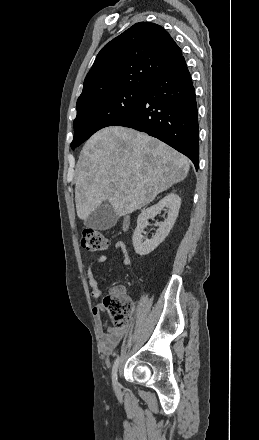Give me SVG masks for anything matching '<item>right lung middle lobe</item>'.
<instances>
[{"mask_svg": "<svg viewBox=\"0 0 259 440\" xmlns=\"http://www.w3.org/2000/svg\"><path fill=\"white\" fill-rule=\"evenodd\" d=\"M146 90L147 87L121 89L78 107L71 148L75 149L96 131L128 115L141 101Z\"/></svg>", "mask_w": 259, "mask_h": 440, "instance_id": "dd1d6c3e", "label": "right lung middle lobe"}]
</instances>
